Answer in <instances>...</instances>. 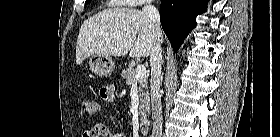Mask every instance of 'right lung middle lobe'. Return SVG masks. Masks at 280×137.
Masks as SVG:
<instances>
[{
    "instance_id": "right-lung-middle-lobe-1",
    "label": "right lung middle lobe",
    "mask_w": 280,
    "mask_h": 137,
    "mask_svg": "<svg viewBox=\"0 0 280 137\" xmlns=\"http://www.w3.org/2000/svg\"><path fill=\"white\" fill-rule=\"evenodd\" d=\"M90 2H91V0H86V2H85V3L87 4V3H90Z\"/></svg>"
}]
</instances>
